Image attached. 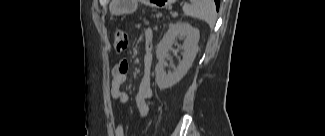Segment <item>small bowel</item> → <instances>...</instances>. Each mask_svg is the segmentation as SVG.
Wrapping results in <instances>:
<instances>
[{
  "instance_id": "obj_1",
  "label": "small bowel",
  "mask_w": 325,
  "mask_h": 136,
  "mask_svg": "<svg viewBox=\"0 0 325 136\" xmlns=\"http://www.w3.org/2000/svg\"><path fill=\"white\" fill-rule=\"evenodd\" d=\"M146 42V52L143 57V73L138 83V89L135 96V104L141 115H146L149 110L148 101L152 96L150 71L152 65V56L150 53V46L153 39V32L147 30L144 34ZM129 71V64L126 60L118 62L111 70V98L123 105L126 104L130 97L129 94L121 89V86L126 82ZM116 136H124V128L118 124L114 128Z\"/></svg>"
}]
</instances>
